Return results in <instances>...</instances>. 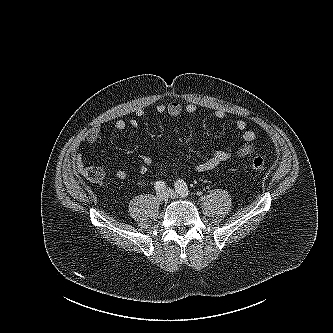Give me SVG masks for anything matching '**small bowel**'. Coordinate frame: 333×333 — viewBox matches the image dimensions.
Here are the masks:
<instances>
[{
	"label": "small bowel",
	"mask_w": 333,
	"mask_h": 333,
	"mask_svg": "<svg viewBox=\"0 0 333 333\" xmlns=\"http://www.w3.org/2000/svg\"><path fill=\"white\" fill-rule=\"evenodd\" d=\"M197 107L193 103H188L185 106L178 102H170L168 104L159 103L156 106V111L159 114H168L173 118L181 116L184 112L188 114H194ZM136 115L142 117L144 111L142 109L137 110ZM214 117L217 119L225 118V113L222 110L214 111ZM113 127L117 131H124L128 127L137 128L138 121L136 119H131L125 121L123 119H115L112 122ZM235 128L241 133V140L243 144L238 148L236 154L239 158H245L253 154L254 141L256 139V133L248 128V124L245 120L239 119L235 122ZM102 129L99 125L90 128L85 136L84 140L88 143H95L99 140L101 136ZM231 157V152L226 149H215L208 153V158L201 163L195 165V171L198 173L213 172L217 171L223 163L228 161ZM152 164V158L148 155L142 156V164L138 167V172L141 175H145L148 172L149 166ZM72 168L76 173H79L86 177L88 180L93 182H100L104 180L109 174L108 169L101 167H86L83 164L82 157L76 155L72 159ZM128 176L126 169H119L115 172V177L119 180H124Z\"/></svg>",
	"instance_id": "1"
}]
</instances>
